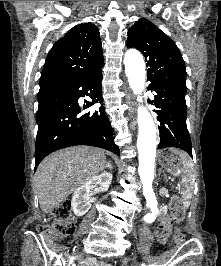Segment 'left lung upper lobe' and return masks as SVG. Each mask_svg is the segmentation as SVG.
<instances>
[{
    "label": "left lung upper lobe",
    "mask_w": 221,
    "mask_h": 266,
    "mask_svg": "<svg viewBox=\"0 0 221 266\" xmlns=\"http://www.w3.org/2000/svg\"><path fill=\"white\" fill-rule=\"evenodd\" d=\"M127 35V47L137 48L147 61V80L187 91L184 60L176 44L164 32L141 18L129 28Z\"/></svg>",
    "instance_id": "1"
}]
</instances>
